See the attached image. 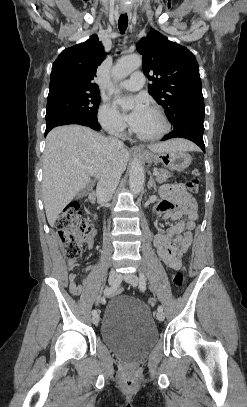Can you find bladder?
Masks as SVG:
<instances>
[{
	"mask_svg": "<svg viewBox=\"0 0 247 407\" xmlns=\"http://www.w3.org/2000/svg\"><path fill=\"white\" fill-rule=\"evenodd\" d=\"M158 338L151 310L145 303L129 296H119L107 303L101 340L120 358L128 362L141 361Z\"/></svg>",
	"mask_w": 247,
	"mask_h": 407,
	"instance_id": "obj_1",
	"label": "bladder"
}]
</instances>
